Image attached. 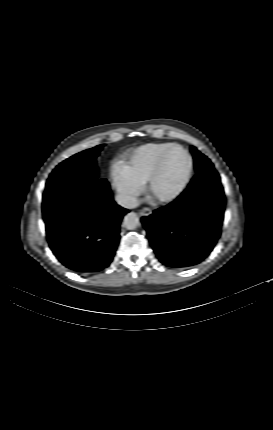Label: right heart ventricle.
<instances>
[{
  "label": "right heart ventricle",
  "instance_id": "1",
  "mask_svg": "<svg viewBox=\"0 0 273 430\" xmlns=\"http://www.w3.org/2000/svg\"><path fill=\"white\" fill-rule=\"evenodd\" d=\"M172 143L168 142H153L141 145L134 149L123 161V167L140 187L144 185L160 154Z\"/></svg>",
  "mask_w": 273,
  "mask_h": 430
}]
</instances>
